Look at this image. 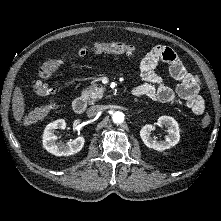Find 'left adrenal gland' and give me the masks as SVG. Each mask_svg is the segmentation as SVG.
I'll return each mask as SVG.
<instances>
[{
  "label": "left adrenal gland",
  "instance_id": "left-adrenal-gland-1",
  "mask_svg": "<svg viewBox=\"0 0 221 221\" xmlns=\"http://www.w3.org/2000/svg\"><path fill=\"white\" fill-rule=\"evenodd\" d=\"M142 112V110L141 111H138L137 113L139 114V113H141Z\"/></svg>",
  "mask_w": 221,
  "mask_h": 221
}]
</instances>
